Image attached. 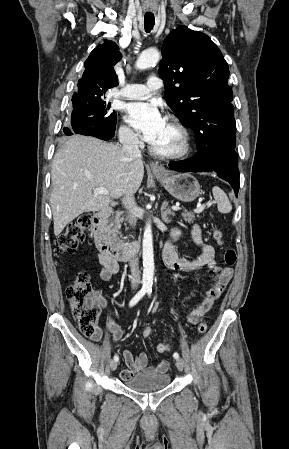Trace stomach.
Masks as SVG:
<instances>
[{
    "label": "stomach",
    "instance_id": "0dacf381",
    "mask_svg": "<svg viewBox=\"0 0 289 449\" xmlns=\"http://www.w3.org/2000/svg\"><path fill=\"white\" fill-rule=\"evenodd\" d=\"M154 175L173 197L182 202H191L200 195V185L189 173Z\"/></svg>",
    "mask_w": 289,
    "mask_h": 449
}]
</instances>
